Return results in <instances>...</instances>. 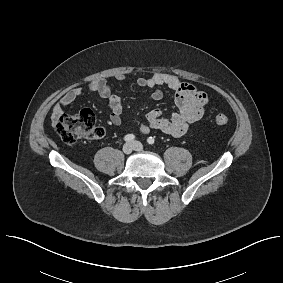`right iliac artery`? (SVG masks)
I'll return each mask as SVG.
<instances>
[{
	"label": "right iliac artery",
	"mask_w": 283,
	"mask_h": 283,
	"mask_svg": "<svg viewBox=\"0 0 283 283\" xmlns=\"http://www.w3.org/2000/svg\"><path fill=\"white\" fill-rule=\"evenodd\" d=\"M135 139V136L133 134H128L124 137V140L129 142Z\"/></svg>",
	"instance_id": "1"
}]
</instances>
